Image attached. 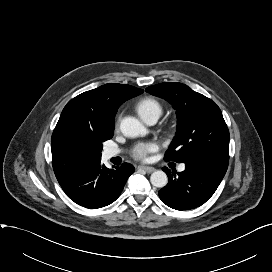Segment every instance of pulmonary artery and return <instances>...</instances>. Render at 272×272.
<instances>
[{"mask_svg": "<svg viewBox=\"0 0 272 272\" xmlns=\"http://www.w3.org/2000/svg\"><path fill=\"white\" fill-rule=\"evenodd\" d=\"M157 119H158L157 117H151V118L147 119L146 122L148 124H154V123H156ZM119 154H120V150L117 149V148H107L103 152V156H104L105 159L113 158V157H115V156H117ZM184 169H185L184 164H181L179 166V168H178V170L181 171V172L184 171Z\"/></svg>", "mask_w": 272, "mask_h": 272, "instance_id": "obj_1", "label": "pulmonary artery"}]
</instances>
